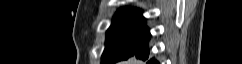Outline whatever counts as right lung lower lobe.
<instances>
[{
    "mask_svg": "<svg viewBox=\"0 0 242 64\" xmlns=\"http://www.w3.org/2000/svg\"><path fill=\"white\" fill-rule=\"evenodd\" d=\"M136 58L141 59L143 61L147 60L149 58V48L146 47L145 49L139 51L137 54H135ZM124 60V59H123ZM154 63V59H151L147 62V64Z\"/></svg>",
    "mask_w": 242,
    "mask_h": 64,
    "instance_id": "obj_1",
    "label": "right lung lower lobe"
}]
</instances>
